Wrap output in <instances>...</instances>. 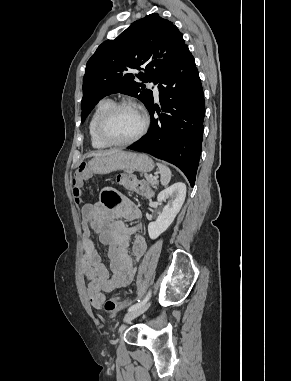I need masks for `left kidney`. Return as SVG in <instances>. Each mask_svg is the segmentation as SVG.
I'll use <instances>...</instances> for the list:
<instances>
[{"mask_svg": "<svg viewBox=\"0 0 291 381\" xmlns=\"http://www.w3.org/2000/svg\"><path fill=\"white\" fill-rule=\"evenodd\" d=\"M185 197L186 185L182 182L174 183L158 194L157 201L159 203L169 200L156 221L150 222L148 225V234L151 239L159 237L172 224L185 201Z\"/></svg>", "mask_w": 291, "mask_h": 381, "instance_id": "left-kidney-1", "label": "left kidney"}]
</instances>
